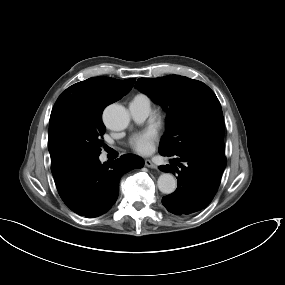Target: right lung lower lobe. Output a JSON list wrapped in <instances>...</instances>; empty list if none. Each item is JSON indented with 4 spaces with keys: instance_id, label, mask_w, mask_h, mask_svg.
<instances>
[{
    "instance_id": "98d812e1",
    "label": "right lung lower lobe",
    "mask_w": 285,
    "mask_h": 285,
    "mask_svg": "<svg viewBox=\"0 0 285 285\" xmlns=\"http://www.w3.org/2000/svg\"><path fill=\"white\" fill-rule=\"evenodd\" d=\"M144 165L135 155L101 164L99 157L53 175L61 199L73 212L88 218L106 213L118 198L120 177Z\"/></svg>"
}]
</instances>
